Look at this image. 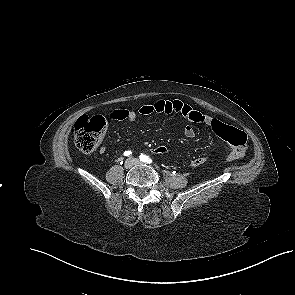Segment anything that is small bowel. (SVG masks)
<instances>
[{
	"instance_id": "obj_1",
	"label": "small bowel",
	"mask_w": 295,
	"mask_h": 295,
	"mask_svg": "<svg viewBox=\"0 0 295 295\" xmlns=\"http://www.w3.org/2000/svg\"><path fill=\"white\" fill-rule=\"evenodd\" d=\"M139 113L142 115H150L153 113H162V114H180L186 120L189 121L190 124L186 125L184 129V134L187 138H194L196 136V130L193 124H204L210 127L213 132H215L218 136L217 125L224 124L216 118L203 114L195 109H193L190 105L179 101V100H157L151 104H146L140 107ZM138 116V113L131 109H112L109 111V117L113 120H127V121H135ZM99 152L101 154L105 153V148L101 147ZM206 161L204 156H198L194 158L190 162L191 167H199L203 165Z\"/></svg>"
}]
</instances>
